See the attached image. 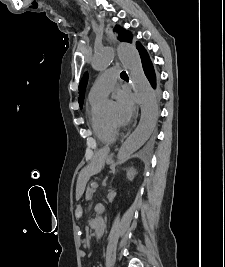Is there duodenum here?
Segmentation results:
<instances>
[{
  "label": "duodenum",
  "mask_w": 225,
  "mask_h": 267,
  "mask_svg": "<svg viewBox=\"0 0 225 267\" xmlns=\"http://www.w3.org/2000/svg\"><path fill=\"white\" fill-rule=\"evenodd\" d=\"M102 224H103L102 219H100V218H95V219H93L92 222H91V227H92L93 229H98V228H100V227L102 226Z\"/></svg>",
  "instance_id": "1"
}]
</instances>
